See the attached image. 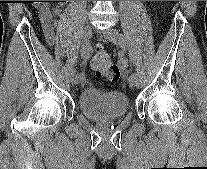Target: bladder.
Masks as SVG:
<instances>
[{
  "mask_svg": "<svg viewBox=\"0 0 207 169\" xmlns=\"http://www.w3.org/2000/svg\"><path fill=\"white\" fill-rule=\"evenodd\" d=\"M78 106L82 114L93 120H116L128 111L126 95L117 90L88 87L81 91Z\"/></svg>",
  "mask_w": 207,
  "mask_h": 169,
  "instance_id": "obj_1",
  "label": "bladder"
}]
</instances>
